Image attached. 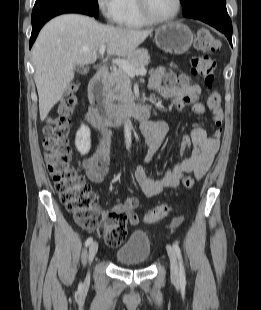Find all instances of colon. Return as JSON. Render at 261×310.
<instances>
[{
    "label": "colon",
    "instance_id": "1",
    "mask_svg": "<svg viewBox=\"0 0 261 310\" xmlns=\"http://www.w3.org/2000/svg\"><path fill=\"white\" fill-rule=\"evenodd\" d=\"M195 48L200 53L191 60V72L195 76H202L205 85L212 89L215 81L216 61L210 53L219 51L220 41L208 30L200 29L195 39ZM182 79L178 80L181 81ZM174 78L169 77L167 83L172 85ZM73 87L66 93L57 108L56 115L49 119L44 127L45 159L50 176L54 182L55 190L62 204L71 212L79 225L97 231L111 247L119 246L127 236V215L112 212L99 219L93 203L95 195L84 178L71 165L72 150L68 141L70 116L76 103L72 93ZM207 105L213 114L217 129L213 137L221 136L223 112L221 109V96L213 90L207 99ZM190 142L184 140L181 151L185 157L190 149ZM194 180L191 175H186L183 185L191 188ZM170 207L166 204L159 205L145 215L147 222L157 221L168 214ZM182 218H176L172 227H178Z\"/></svg>",
    "mask_w": 261,
    "mask_h": 310
}]
</instances>
